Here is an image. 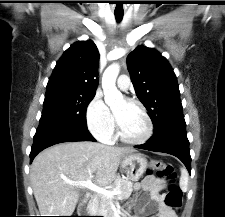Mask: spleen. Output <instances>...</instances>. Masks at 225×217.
Wrapping results in <instances>:
<instances>
[{
    "instance_id": "3e777b00",
    "label": "spleen",
    "mask_w": 225,
    "mask_h": 217,
    "mask_svg": "<svg viewBox=\"0 0 225 217\" xmlns=\"http://www.w3.org/2000/svg\"><path fill=\"white\" fill-rule=\"evenodd\" d=\"M180 188L183 192H186L188 189V172L185 168H181V177H180Z\"/></svg>"
}]
</instances>
